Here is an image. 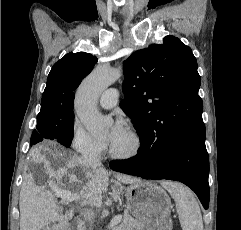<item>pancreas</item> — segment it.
I'll return each instance as SVG.
<instances>
[{
  "label": "pancreas",
  "mask_w": 241,
  "mask_h": 230,
  "mask_svg": "<svg viewBox=\"0 0 241 230\" xmlns=\"http://www.w3.org/2000/svg\"><path fill=\"white\" fill-rule=\"evenodd\" d=\"M141 227L142 224L138 220L131 216H124L122 222L114 230H140Z\"/></svg>",
  "instance_id": "obj_1"
}]
</instances>
